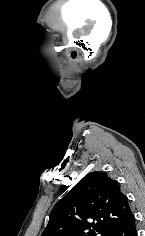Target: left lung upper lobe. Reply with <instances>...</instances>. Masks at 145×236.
Segmentation results:
<instances>
[{
    "label": "left lung upper lobe",
    "instance_id": "left-lung-upper-lobe-1",
    "mask_svg": "<svg viewBox=\"0 0 145 236\" xmlns=\"http://www.w3.org/2000/svg\"><path fill=\"white\" fill-rule=\"evenodd\" d=\"M131 214L119 183L92 172L55 205L41 236H112Z\"/></svg>",
    "mask_w": 145,
    "mask_h": 236
}]
</instances>
